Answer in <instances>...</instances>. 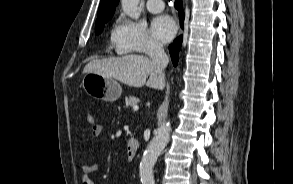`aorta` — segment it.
<instances>
[{"instance_id":"762f6f07","label":"aorta","mask_w":293,"mask_h":184,"mask_svg":"<svg viewBox=\"0 0 293 184\" xmlns=\"http://www.w3.org/2000/svg\"><path fill=\"white\" fill-rule=\"evenodd\" d=\"M138 2L139 0H121L124 13L133 19H138L140 16ZM170 132L171 124L167 121L158 128L155 137L148 144L139 168L142 184H154L153 167L158 156L169 142Z\"/></svg>"}]
</instances>
